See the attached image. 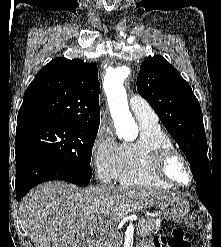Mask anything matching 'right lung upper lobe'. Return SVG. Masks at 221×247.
Listing matches in <instances>:
<instances>
[{"instance_id": "obj_1", "label": "right lung upper lobe", "mask_w": 221, "mask_h": 247, "mask_svg": "<svg viewBox=\"0 0 221 247\" xmlns=\"http://www.w3.org/2000/svg\"><path fill=\"white\" fill-rule=\"evenodd\" d=\"M99 89L95 64L56 58L37 73L27 88L17 128L50 123L99 128Z\"/></svg>"}]
</instances>
